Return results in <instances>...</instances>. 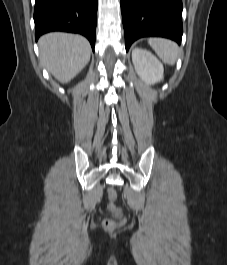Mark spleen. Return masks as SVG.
I'll return each mask as SVG.
<instances>
[{
	"label": "spleen",
	"mask_w": 227,
	"mask_h": 265,
	"mask_svg": "<svg viewBox=\"0 0 227 265\" xmlns=\"http://www.w3.org/2000/svg\"><path fill=\"white\" fill-rule=\"evenodd\" d=\"M148 43L163 62L169 65L175 64L179 52L178 45L175 42L164 38H150Z\"/></svg>",
	"instance_id": "obj_1"
}]
</instances>
